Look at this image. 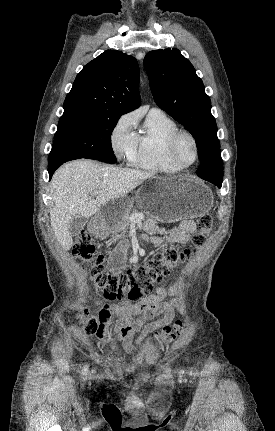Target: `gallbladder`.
Here are the masks:
<instances>
[{
	"label": "gallbladder",
	"instance_id": "1",
	"mask_svg": "<svg viewBox=\"0 0 275 431\" xmlns=\"http://www.w3.org/2000/svg\"><path fill=\"white\" fill-rule=\"evenodd\" d=\"M88 222V219L83 216H75L69 226L71 236H77Z\"/></svg>",
	"mask_w": 275,
	"mask_h": 431
}]
</instances>
